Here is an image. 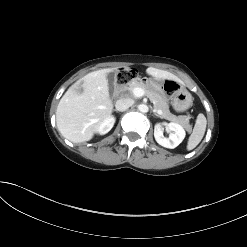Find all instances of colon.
<instances>
[{
	"label": "colon",
	"instance_id": "5ec220e1",
	"mask_svg": "<svg viewBox=\"0 0 247 247\" xmlns=\"http://www.w3.org/2000/svg\"><path fill=\"white\" fill-rule=\"evenodd\" d=\"M131 78V73L126 70H120L117 74V82L119 84L127 83Z\"/></svg>",
	"mask_w": 247,
	"mask_h": 247
}]
</instances>
